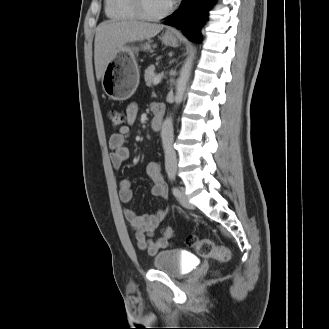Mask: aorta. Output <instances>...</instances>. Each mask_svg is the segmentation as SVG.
Listing matches in <instances>:
<instances>
[{"mask_svg":"<svg viewBox=\"0 0 329 329\" xmlns=\"http://www.w3.org/2000/svg\"><path fill=\"white\" fill-rule=\"evenodd\" d=\"M190 70L191 61L188 59L181 70L179 78L177 79L174 99L177 105L183 100L184 92L190 76ZM161 139L165 155V169L167 172H174L177 168V158L173 149L174 133L173 118L171 116L167 117L162 124Z\"/></svg>","mask_w":329,"mask_h":329,"instance_id":"1","label":"aorta"}]
</instances>
